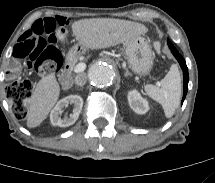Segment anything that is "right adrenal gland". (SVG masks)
Instances as JSON below:
<instances>
[{"label":"right adrenal gland","instance_id":"1","mask_svg":"<svg viewBox=\"0 0 215 183\" xmlns=\"http://www.w3.org/2000/svg\"><path fill=\"white\" fill-rule=\"evenodd\" d=\"M83 88H77V90H82Z\"/></svg>","mask_w":215,"mask_h":183}]
</instances>
